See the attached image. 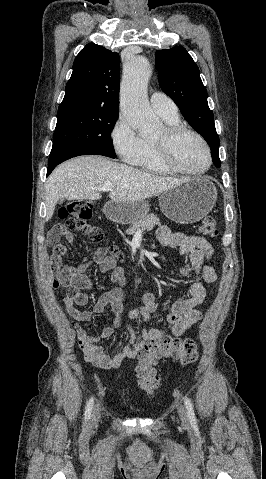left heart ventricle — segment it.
Listing matches in <instances>:
<instances>
[{"instance_id": "b2bd125f", "label": "left heart ventricle", "mask_w": 266, "mask_h": 479, "mask_svg": "<svg viewBox=\"0 0 266 479\" xmlns=\"http://www.w3.org/2000/svg\"><path fill=\"white\" fill-rule=\"evenodd\" d=\"M162 133L163 130L155 138L160 137ZM172 154L176 163L189 171L201 170L207 164V155L203 145L191 134H182L174 140Z\"/></svg>"}]
</instances>
